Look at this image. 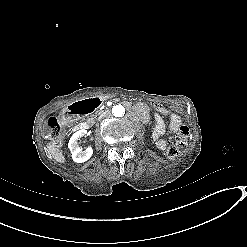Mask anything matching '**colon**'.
<instances>
[{"instance_id":"1","label":"colon","mask_w":247,"mask_h":247,"mask_svg":"<svg viewBox=\"0 0 247 247\" xmlns=\"http://www.w3.org/2000/svg\"><path fill=\"white\" fill-rule=\"evenodd\" d=\"M146 108L155 109L160 116H166L168 114V109L164 105L160 104L158 101L148 100L145 103ZM47 129L51 132L54 144L60 147L59 136L65 131V126L61 124L57 118H50L47 123ZM189 140V129L185 126L180 127L178 133L169 142L166 148V156L169 160H175L180 155L181 151L188 144Z\"/></svg>"}]
</instances>
